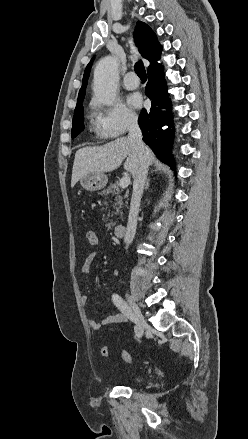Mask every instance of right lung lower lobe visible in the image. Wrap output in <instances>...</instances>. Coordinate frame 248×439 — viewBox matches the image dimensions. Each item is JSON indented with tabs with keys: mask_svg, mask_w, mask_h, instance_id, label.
<instances>
[{
	"mask_svg": "<svg viewBox=\"0 0 248 439\" xmlns=\"http://www.w3.org/2000/svg\"><path fill=\"white\" fill-rule=\"evenodd\" d=\"M146 96L151 100L150 110L142 109L138 123L143 132V141L150 146L154 154L163 162L174 167V160L170 153L173 137L171 102L168 98L167 86L163 67L159 66L148 71ZM162 109H167L163 111ZM169 126L165 131L163 126ZM166 140L167 143H165Z\"/></svg>",
	"mask_w": 248,
	"mask_h": 439,
	"instance_id": "right-lung-lower-lobe-1",
	"label": "right lung lower lobe"
}]
</instances>
